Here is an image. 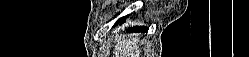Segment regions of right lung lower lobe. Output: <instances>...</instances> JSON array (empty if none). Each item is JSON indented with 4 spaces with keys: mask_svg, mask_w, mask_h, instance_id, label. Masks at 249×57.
Returning a JSON list of instances; mask_svg holds the SVG:
<instances>
[{
    "mask_svg": "<svg viewBox=\"0 0 249 57\" xmlns=\"http://www.w3.org/2000/svg\"><path fill=\"white\" fill-rule=\"evenodd\" d=\"M126 17H122L121 19H119L117 22H116V24L115 25H117L119 22L120 23H123L124 22V19H125ZM129 31H146L147 30V28L146 27H131V28H129L128 29Z\"/></svg>",
    "mask_w": 249,
    "mask_h": 57,
    "instance_id": "1",
    "label": "right lung lower lobe"
}]
</instances>
